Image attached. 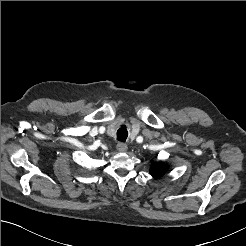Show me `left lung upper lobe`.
I'll list each match as a JSON object with an SVG mask.
<instances>
[{
  "mask_svg": "<svg viewBox=\"0 0 246 246\" xmlns=\"http://www.w3.org/2000/svg\"><path fill=\"white\" fill-rule=\"evenodd\" d=\"M166 170H167L166 165L159 162L151 168L150 173L154 177H160L165 173Z\"/></svg>",
  "mask_w": 246,
  "mask_h": 246,
  "instance_id": "5c2ea615",
  "label": "left lung upper lobe"
}]
</instances>
